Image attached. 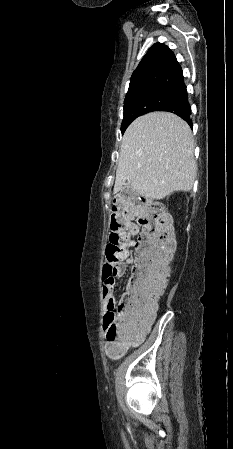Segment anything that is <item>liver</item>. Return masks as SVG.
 <instances>
[{
	"mask_svg": "<svg viewBox=\"0 0 233 449\" xmlns=\"http://www.w3.org/2000/svg\"><path fill=\"white\" fill-rule=\"evenodd\" d=\"M188 124L169 112L137 118L123 135L114 193L127 182L145 198L161 200L175 191H190L197 164Z\"/></svg>",
	"mask_w": 233,
	"mask_h": 449,
	"instance_id": "liver-1",
	"label": "liver"
}]
</instances>
